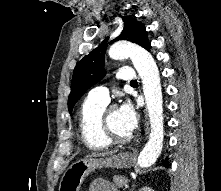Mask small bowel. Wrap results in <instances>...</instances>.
<instances>
[{
    "mask_svg": "<svg viewBox=\"0 0 221 191\" xmlns=\"http://www.w3.org/2000/svg\"><path fill=\"white\" fill-rule=\"evenodd\" d=\"M89 191H117L116 187L107 180L97 179L91 181Z\"/></svg>",
    "mask_w": 221,
    "mask_h": 191,
    "instance_id": "small-bowel-1",
    "label": "small bowel"
}]
</instances>
